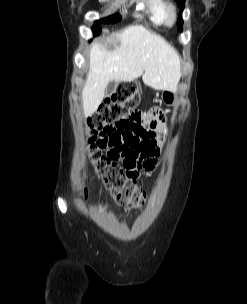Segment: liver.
Returning <instances> with one entry per match:
<instances>
[{
  "mask_svg": "<svg viewBox=\"0 0 247 304\" xmlns=\"http://www.w3.org/2000/svg\"><path fill=\"white\" fill-rule=\"evenodd\" d=\"M140 76L156 90H177L181 77L179 55L162 37L134 25L103 45L94 42L82 91L84 116L98 109L110 81H132Z\"/></svg>",
  "mask_w": 247,
  "mask_h": 304,
  "instance_id": "obj_1",
  "label": "liver"
}]
</instances>
